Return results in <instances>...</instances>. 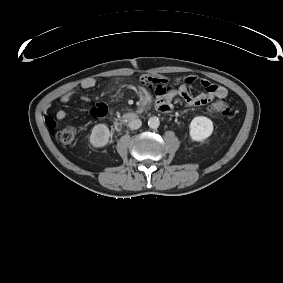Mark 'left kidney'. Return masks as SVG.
<instances>
[{"label": "left kidney", "mask_w": 283, "mask_h": 283, "mask_svg": "<svg viewBox=\"0 0 283 283\" xmlns=\"http://www.w3.org/2000/svg\"><path fill=\"white\" fill-rule=\"evenodd\" d=\"M213 132V122L204 116H197L190 123V137L193 141H202Z\"/></svg>", "instance_id": "obj_1"}]
</instances>
